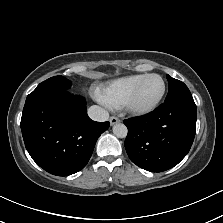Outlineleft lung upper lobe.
Here are the masks:
<instances>
[{"mask_svg": "<svg viewBox=\"0 0 223 223\" xmlns=\"http://www.w3.org/2000/svg\"><path fill=\"white\" fill-rule=\"evenodd\" d=\"M169 82V91L165 102L168 101H194L187 86L169 75H166Z\"/></svg>", "mask_w": 223, "mask_h": 223, "instance_id": "obj_1", "label": "left lung upper lobe"}]
</instances>
